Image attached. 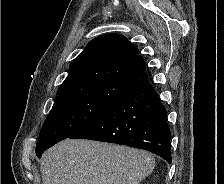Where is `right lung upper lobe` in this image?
Returning <instances> with one entry per match:
<instances>
[{
    "instance_id": "obj_1",
    "label": "right lung upper lobe",
    "mask_w": 224,
    "mask_h": 184,
    "mask_svg": "<svg viewBox=\"0 0 224 184\" xmlns=\"http://www.w3.org/2000/svg\"><path fill=\"white\" fill-rule=\"evenodd\" d=\"M69 68L70 72L57 93L91 81H107L131 89L149 82L145 62L138 49L120 34L94 38Z\"/></svg>"
}]
</instances>
